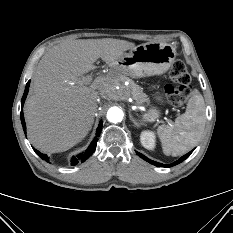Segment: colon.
<instances>
[{
    "mask_svg": "<svg viewBox=\"0 0 233 233\" xmlns=\"http://www.w3.org/2000/svg\"><path fill=\"white\" fill-rule=\"evenodd\" d=\"M173 84L165 87L168 100L174 105L184 104L190 95L191 77L182 61H176L169 72Z\"/></svg>",
    "mask_w": 233,
    "mask_h": 233,
    "instance_id": "colon-1",
    "label": "colon"
}]
</instances>
